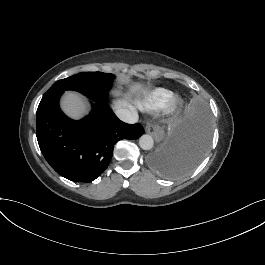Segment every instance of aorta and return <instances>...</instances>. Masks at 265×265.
Wrapping results in <instances>:
<instances>
[{"label": "aorta", "instance_id": "762f6f07", "mask_svg": "<svg viewBox=\"0 0 265 265\" xmlns=\"http://www.w3.org/2000/svg\"><path fill=\"white\" fill-rule=\"evenodd\" d=\"M139 145L143 150H150L154 145L152 136L150 135L141 136L139 139Z\"/></svg>", "mask_w": 265, "mask_h": 265}]
</instances>
